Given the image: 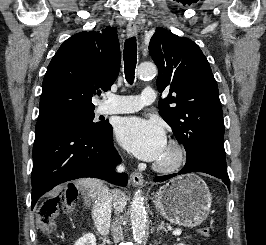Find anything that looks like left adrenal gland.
Wrapping results in <instances>:
<instances>
[{"mask_svg": "<svg viewBox=\"0 0 266 245\" xmlns=\"http://www.w3.org/2000/svg\"><path fill=\"white\" fill-rule=\"evenodd\" d=\"M157 231H165V233H168V231H166V229H165L164 221H161V225H159Z\"/></svg>", "mask_w": 266, "mask_h": 245, "instance_id": "obj_1", "label": "left adrenal gland"}]
</instances>
